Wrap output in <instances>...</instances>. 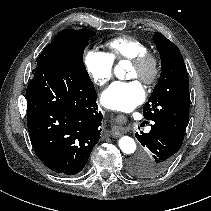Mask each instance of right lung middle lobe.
Wrapping results in <instances>:
<instances>
[{"instance_id":"1","label":"right lung middle lobe","mask_w":211,"mask_h":211,"mask_svg":"<svg viewBox=\"0 0 211 211\" xmlns=\"http://www.w3.org/2000/svg\"><path fill=\"white\" fill-rule=\"evenodd\" d=\"M93 35H95V32L89 29L63 30L53 38L41 55L56 56L76 74L90 80L82 60L84 49Z\"/></svg>"}]
</instances>
